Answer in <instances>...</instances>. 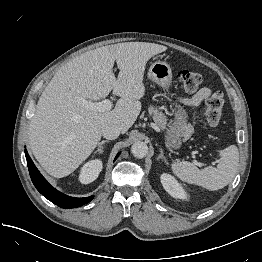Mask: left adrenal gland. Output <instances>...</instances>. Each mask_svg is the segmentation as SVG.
Returning a JSON list of instances; mask_svg holds the SVG:
<instances>
[{
  "instance_id": "left-adrenal-gland-1",
  "label": "left adrenal gland",
  "mask_w": 262,
  "mask_h": 262,
  "mask_svg": "<svg viewBox=\"0 0 262 262\" xmlns=\"http://www.w3.org/2000/svg\"><path fill=\"white\" fill-rule=\"evenodd\" d=\"M157 159H158V160H159V159H163V160L165 161V163L168 164V161H167L166 157L164 156V153H163V150H162V149H160V155L158 156Z\"/></svg>"
}]
</instances>
